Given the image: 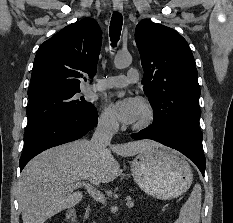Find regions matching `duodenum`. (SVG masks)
<instances>
[{
	"label": "duodenum",
	"mask_w": 233,
	"mask_h": 223,
	"mask_svg": "<svg viewBox=\"0 0 233 223\" xmlns=\"http://www.w3.org/2000/svg\"><path fill=\"white\" fill-rule=\"evenodd\" d=\"M66 219L69 223H77L78 222L77 212L74 209H69L66 213Z\"/></svg>",
	"instance_id": "1"
}]
</instances>
